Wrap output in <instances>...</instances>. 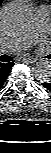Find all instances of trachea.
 <instances>
[{
	"label": "trachea",
	"mask_w": 51,
	"mask_h": 153,
	"mask_svg": "<svg viewBox=\"0 0 51 153\" xmlns=\"http://www.w3.org/2000/svg\"><path fill=\"white\" fill-rule=\"evenodd\" d=\"M12 57H10V56H7V55H2L1 57H0V61H2V62H10V61H12Z\"/></svg>",
	"instance_id": "3493384b"
}]
</instances>
